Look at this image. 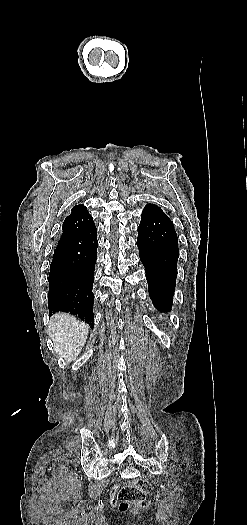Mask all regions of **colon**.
<instances>
[{
  "label": "colon",
  "instance_id": "5ec220e1",
  "mask_svg": "<svg viewBox=\"0 0 247 525\" xmlns=\"http://www.w3.org/2000/svg\"><path fill=\"white\" fill-rule=\"evenodd\" d=\"M151 490V484L145 480H137L133 484H125L124 489H116L118 506L126 508L131 502L145 503Z\"/></svg>",
  "mask_w": 247,
  "mask_h": 525
}]
</instances>
